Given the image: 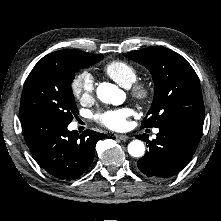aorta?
Segmentation results:
<instances>
[{"label": "aorta", "mask_w": 221, "mask_h": 221, "mask_svg": "<svg viewBox=\"0 0 221 221\" xmlns=\"http://www.w3.org/2000/svg\"><path fill=\"white\" fill-rule=\"evenodd\" d=\"M97 97L107 104H119L121 90L114 84L103 82L96 90ZM128 153L133 157H142L145 153V145L141 140H133L128 145Z\"/></svg>", "instance_id": "1"}]
</instances>
